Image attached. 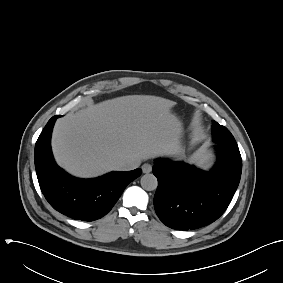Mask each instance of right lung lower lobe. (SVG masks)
<instances>
[{
    "label": "right lung lower lobe",
    "instance_id": "1",
    "mask_svg": "<svg viewBox=\"0 0 283 283\" xmlns=\"http://www.w3.org/2000/svg\"><path fill=\"white\" fill-rule=\"evenodd\" d=\"M59 115L52 117L35 145V168L42 193L58 212L82 221H94L106 215L126 186L140 176L141 169L114 171L95 179H77L54 161L51 133Z\"/></svg>",
    "mask_w": 283,
    "mask_h": 283
}]
</instances>
